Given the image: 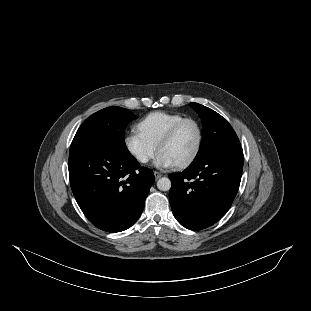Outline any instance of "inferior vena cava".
Listing matches in <instances>:
<instances>
[{
  "label": "inferior vena cava",
  "instance_id": "602c4592",
  "mask_svg": "<svg viewBox=\"0 0 311 311\" xmlns=\"http://www.w3.org/2000/svg\"><path fill=\"white\" fill-rule=\"evenodd\" d=\"M139 161H141V162H148V157H146V156H141L140 158H139Z\"/></svg>",
  "mask_w": 311,
  "mask_h": 311
}]
</instances>
